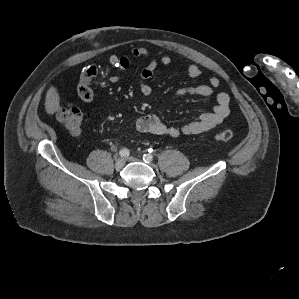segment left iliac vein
Returning a JSON list of instances; mask_svg holds the SVG:
<instances>
[{
	"instance_id": "obj_1",
	"label": "left iliac vein",
	"mask_w": 299,
	"mask_h": 299,
	"mask_svg": "<svg viewBox=\"0 0 299 299\" xmlns=\"http://www.w3.org/2000/svg\"><path fill=\"white\" fill-rule=\"evenodd\" d=\"M127 160H128V161H131V162L139 161V159H137V158H135V157H129V158H127ZM147 163H149L150 165H152V164H151V161H149V162H147Z\"/></svg>"
}]
</instances>
